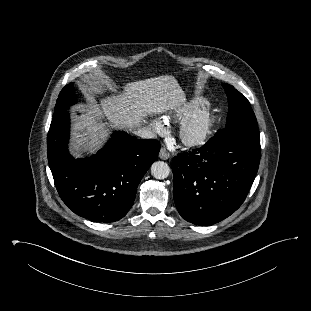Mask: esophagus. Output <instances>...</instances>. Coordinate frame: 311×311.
Segmentation results:
<instances>
[{
  "label": "esophagus",
  "instance_id": "34e87169",
  "mask_svg": "<svg viewBox=\"0 0 311 311\" xmlns=\"http://www.w3.org/2000/svg\"><path fill=\"white\" fill-rule=\"evenodd\" d=\"M159 157L162 159V160H167L170 158V154L169 152L167 151L166 148H161L160 149V152H159Z\"/></svg>",
  "mask_w": 311,
  "mask_h": 311
}]
</instances>
